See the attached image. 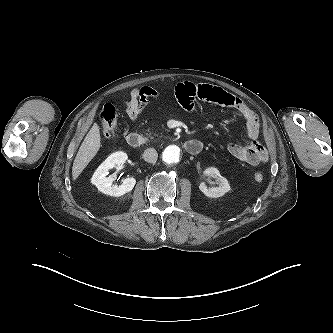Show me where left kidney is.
<instances>
[{
	"instance_id": "obj_1",
	"label": "left kidney",
	"mask_w": 333,
	"mask_h": 333,
	"mask_svg": "<svg viewBox=\"0 0 333 333\" xmlns=\"http://www.w3.org/2000/svg\"><path fill=\"white\" fill-rule=\"evenodd\" d=\"M204 174L219 180L218 187L207 188L204 182L200 184L199 189L205 196L210 198H218L222 197L225 193L229 192L230 185L228 183V180L220 175L219 170L217 168L214 167L207 168L204 171Z\"/></svg>"
}]
</instances>
